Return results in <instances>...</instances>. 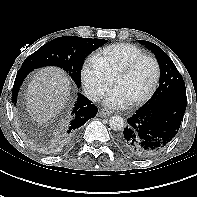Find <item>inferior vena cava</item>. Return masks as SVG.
<instances>
[{"label":"inferior vena cava","instance_id":"602c4592","mask_svg":"<svg viewBox=\"0 0 197 197\" xmlns=\"http://www.w3.org/2000/svg\"><path fill=\"white\" fill-rule=\"evenodd\" d=\"M85 96L91 100V101H99L102 98V95L100 92L95 91V90H86L85 91Z\"/></svg>","mask_w":197,"mask_h":197}]
</instances>
